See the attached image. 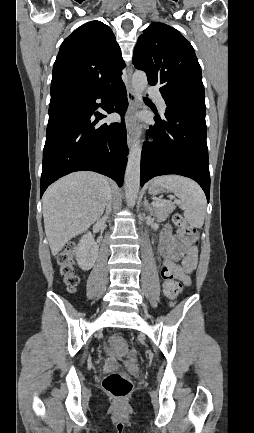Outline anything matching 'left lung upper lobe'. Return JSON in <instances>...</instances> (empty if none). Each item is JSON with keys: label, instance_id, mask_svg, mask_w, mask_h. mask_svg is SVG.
<instances>
[{"label": "left lung upper lobe", "instance_id": "obj_1", "mask_svg": "<svg viewBox=\"0 0 254 433\" xmlns=\"http://www.w3.org/2000/svg\"><path fill=\"white\" fill-rule=\"evenodd\" d=\"M133 64L146 72L149 85H160L167 107L187 105L206 111L201 67L193 47L176 29L151 23L138 38Z\"/></svg>", "mask_w": 254, "mask_h": 433}]
</instances>
